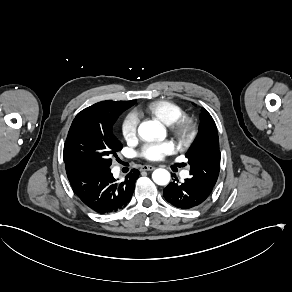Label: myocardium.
Returning a JSON list of instances; mask_svg holds the SVG:
<instances>
[{
  "mask_svg": "<svg viewBox=\"0 0 292 292\" xmlns=\"http://www.w3.org/2000/svg\"><path fill=\"white\" fill-rule=\"evenodd\" d=\"M174 134L183 142L189 143L195 135L192 120L186 116H180L173 124Z\"/></svg>",
  "mask_w": 292,
  "mask_h": 292,
  "instance_id": "obj_1",
  "label": "myocardium"
}]
</instances>
